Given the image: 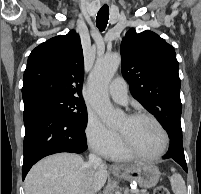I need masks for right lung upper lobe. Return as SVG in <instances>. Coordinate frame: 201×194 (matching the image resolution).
<instances>
[{"instance_id":"1","label":"right lung upper lobe","mask_w":201,"mask_h":194,"mask_svg":"<svg viewBox=\"0 0 201 194\" xmlns=\"http://www.w3.org/2000/svg\"><path fill=\"white\" fill-rule=\"evenodd\" d=\"M84 59L75 31L59 35L37 46L29 55L24 72V104L45 95L83 100Z\"/></svg>"}]
</instances>
